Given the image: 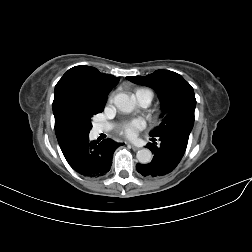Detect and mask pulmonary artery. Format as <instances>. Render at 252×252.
Segmentation results:
<instances>
[{"mask_svg":"<svg viewBox=\"0 0 252 252\" xmlns=\"http://www.w3.org/2000/svg\"><path fill=\"white\" fill-rule=\"evenodd\" d=\"M136 101H137V103H138L140 106H142V107L148 106V101H147L144 97H140V98H138ZM106 130H107V128H106L105 126L96 125V126H94V128H93V133H94L95 135H98V134H100V133L105 132Z\"/></svg>","mask_w":252,"mask_h":252,"instance_id":"e3ab8cb5","label":"pulmonary artery"}]
</instances>
